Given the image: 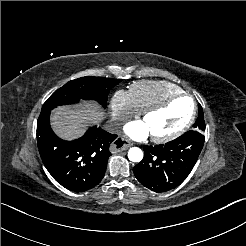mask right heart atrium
<instances>
[{"label":"right heart atrium","mask_w":246,"mask_h":246,"mask_svg":"<svg viewBox=\"0 0 246 246\" xmlns=\"http://www.w3.org/2000/svg\"><path fill=\"white\" fill-rule=\"evenodd\" d=\"M110 113L115 119H125L133 116L134 108L128 92L115 91L110 101Z\"/></svg>","instance_id":"obj_1"}]
</instances>
